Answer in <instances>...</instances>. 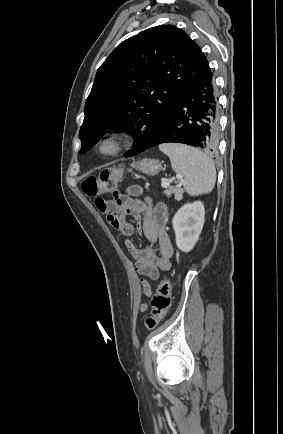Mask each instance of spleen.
<instances>
[{
	"label": "spleen",
	"mask_w": 283,
	"mask_h": 434,
	"mask_svg": "<svg viewBox=\"0 0 283 434\" xmlns=\"http://www.w3.org/2000/svg\"><path fill=\"white\" fill-rule=\"evenodd\" d=\"M159 149L168 155L175 173L184 177L183 186L189 195L198 196L213 190L216 170L206 154L182 144H162Z\"/></svg>",
	"instance_id": "spleen-1"
}]
</instances>
